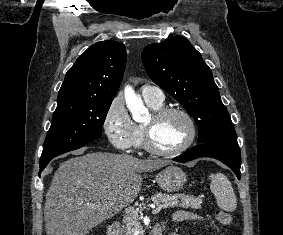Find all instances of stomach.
<instances>
[{
  "label": "stomach",
  "mask_w": 283,
  "mask_h": 235,
  "mask_svg": "<svg viewBox=\"0 0 283 235\" xmlns=\"http://www.w3.org/2000/svg\"><path fill=\"white\" fill-rule=\"evenodd\" d=\"M158 186L166 192H178L183 189L187 178L181 168L168 166L156 175Z\"/></svg>",
  "instance_id": "stomach-1"
}]
</instances>
